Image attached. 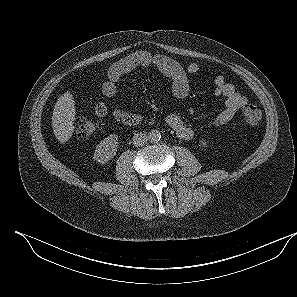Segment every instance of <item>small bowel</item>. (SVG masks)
Here are the masks:
<instances>
[{
	"instance_id": "small-bowel-1",
	"label": "small bowel",
	"mask_w": 297,
	"mask_h": 297,
	"mask_svg": "<svg viewBox=\"0 0 297 297\" xmlns=\"http://www.w3.org/2000/svg\"><path fill=\"white\" fill-rule=\"evenodd\" d=\"M155 68L172 81V92L174 97L182 99L189 93V76L200 71V65L192 62L183 66L178 61L161 54L140 50L129 54L114 63L108 70L107 79L102 85V93L105 97H113L117 93L118 81L127 73L138 68ZM214 93L224 99V108L214 119L215 126H222L235 116L237 111L247 103L246 97L241 95L236 88L228 83L223 76L214 79ZM98 116H105L108 107L104 102L95 105ZM113 117L126 125H135L142 120L139 114H131L119 108L112 111ZM167 125L175 132L178 138L189 141L194 139L196 133L193 128L187 126L180 115L172 112L166 117Z\"/></svg>"
}]
</instances>
